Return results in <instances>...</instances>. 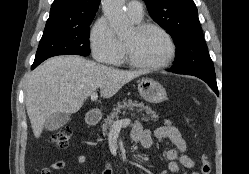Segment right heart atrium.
Listing matches in <instances>:
<instances>
[{"label": "right heart atrium", "instance_id": "d8ad5b80", "mask_svg": "<svg viewBox=\"0 0 249 174\" xmlns=\"http://www.w3.org/2000/svg\"><path fill=\"white\" fill-rule=\"evenodd\" d=\"M90 45L94 58L101 63H116L123 55V46L104 17L93 24Z\"/></svg>", "mask_w": 249, "mask_h": 174}]
</instances>
